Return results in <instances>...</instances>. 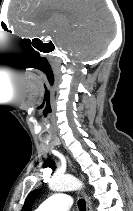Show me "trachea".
<instances>
[{
    "instance_id": "3493384b",
    "label": "trachea",
    "mask_w": 133,
    "mask_h": 211,
    "mask_svg": "<svg viewBox=\"0 0 133 211\" xmlns=\"http://www.w3.org/2000/svg\"><path fill=\"white\" fill-rule=\"evenodd\" d=\"M78 207H79L80 211H85L86 210V205H85V200L84 199H80L78 201Z\"/></svg>"
}]
</instances>
